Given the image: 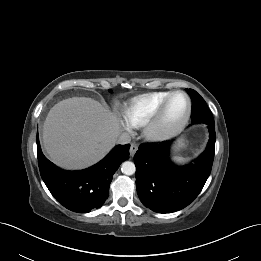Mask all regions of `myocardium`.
<instances>
[{
  "mask_svg": "<svg viewBox=\"0 0 261 261\" xmlns=\"http://www.w3.org/2000/svg\"><path fill=\"white\" fill-rule=\"evenodd\" d=\"M176 95H182L185 97L187 101V110L184 118L178 124H176L173 127L165 128L164 127L165 114L170 104V101ZM191 112H192V103L188 94L181 90L171 92L164 100V102L161 104L154 117L145 125L144 128L145 138L152 142H158V141L168 140L174 137L175 135L180 133L188 124L191 117Z\"/></svg>",
  "mask_w": 261,
  "mask_h": 261,
  "instance_id": "myocardium-1",
  "label": "myocardium"
}]
</instances>
